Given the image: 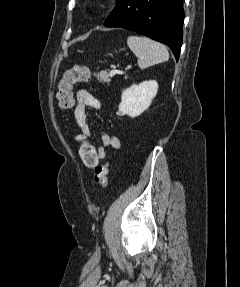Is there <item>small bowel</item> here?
<instances>
[{
    "label": "small bowel",
    "mask_w": 240,
    "mask_h": 287,
    "mask_svg": "<svg viewBox=\"0 0 240 287\" xmlns=\"http://www.w3.org/2000/svg\"><path fill=\"white\" fill-rule=\"evenodd\" d=\"M77 104L74 109V121L81 133L86 137L91 134V128L87 121V109H99V100L88 90L81 89L76 95ZM121 142L120 139L108 133L102 135L101 143L96 146L98 157L100 160L107 157V148L120 149Z\"/></svg>",
    "instance_id": "obj_1"
}]
</instances>
